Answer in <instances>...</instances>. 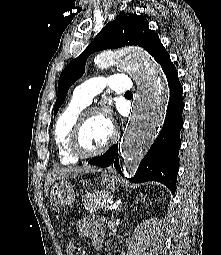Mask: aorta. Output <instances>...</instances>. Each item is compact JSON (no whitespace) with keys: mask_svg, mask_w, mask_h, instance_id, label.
<instances>
[{"mask_svg":"<svg viewBox=\"0 0 221 255\" xmlns=\"http://www.w3.org/2000/svg\"><path fill=\"white\" fill-rule=\"evenodd\" d=\"M94 63L102 69L117 65L138 83L129 122L120 145L122 169L132 176L140 160L154 143L164 122L167 87L157 63L140 48L115 54H100Z\"/></svg>","mask_w":221,"mask_h":255,"instance_id":"1","label":"aorta"}]
</instances>
